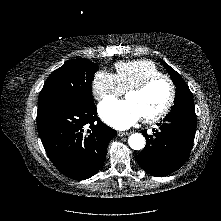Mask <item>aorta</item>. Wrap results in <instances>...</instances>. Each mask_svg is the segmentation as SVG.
Wrapping results in <instances>:
<instances>
[{
  "instance_id": "aorta-1",
  "label": "aorta",
  "mask_w": 221,
  "mask_h": 221,
  "mask_svg": "<svg viewBox=\"0 0 221 221\" xmlns=\"http://www.w3.org/2000/svg\"><path fill=\"white\" fill-rule=\"evenodd\" d=\"M128 144L133 150H141L144 148L146 141L142 134L135 133L129 137Z\"/></svg>"
}]
</instances>
